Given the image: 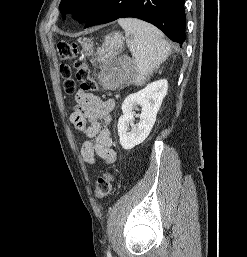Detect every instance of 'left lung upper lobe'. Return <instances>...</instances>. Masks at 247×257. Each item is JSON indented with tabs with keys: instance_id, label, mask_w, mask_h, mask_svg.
<instances>
[{
	"instance_id": "obj_1",
	"label": "left lung upper lobe",
	"mask_w": 247,
	"mask_h": 257,
	"mask_svg": "<svg viewBox=\"0 0 247 257\" xmlns=\"http://www.w3.org/2000/svg\"><path fill=\"white\" fill-rule=\"evenodd\" d=\"M102 0H61L59 9L65 19L66 14L73 11V17L82 23L88 19Z\"/></svg>"
}]
</instances>
